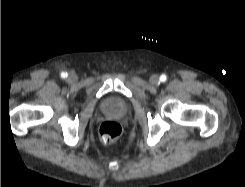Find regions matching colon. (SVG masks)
I'll list each match as a JSON object with an SVG mask.
<instances>
[{
    "instance_id": "5ec220e1",
    "label": "colon",
    "mask_w": 245,
    "mask_h": 187,
    "mask_svg": "<svg viewBox=\"0 0 245 187\" xmlns=\"http://www.w3.org/2000/svg\"><path fill=\"white\" fill-rule=\"evenodd\" d=\"M121 133L122 127L116 121H105L99 127V135L103 142L115 141Z\"/></svg>"
}]
</instances>
